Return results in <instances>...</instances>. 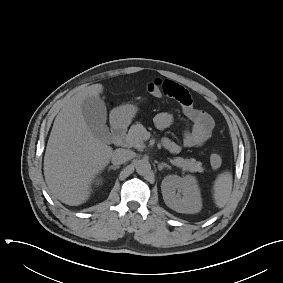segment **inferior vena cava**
<instances>
[{"instance_id":"inferior-vena-cava-1","label":"inferior vena cava","mask_w":283,"mask_h":283,"mask_svg":"<svg viewBox=\"0 0 283 283\" xmlns=\"http://www.w3.org/2000/svg\"><path fill=\"white\" fill-rule=\"evenodd\" d=\"M134 157V152L127 149H116L111 156V162L113 165H121Z\"/></svg>"}]
</instances>
